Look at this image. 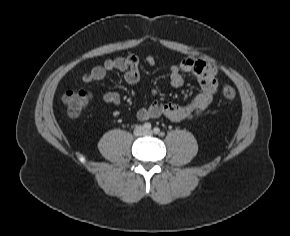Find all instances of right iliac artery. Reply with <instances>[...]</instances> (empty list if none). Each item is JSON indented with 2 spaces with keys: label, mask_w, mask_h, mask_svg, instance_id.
Here are the masks:
<instances>
[{
  "label": "right iliac artery",
  "mask_w": 290,
  "mask_h": 236,
  "mask_svg": "<svg viewBox=\"0 0 290 236\" xmlns=\"http://www.w3.org/2000/svg\"><path fill=\"white\" fill-rule=\"evenodd\" d=\"M144 129L145 130H150L151 129V124L149 122H146L144 125H143Z\"/></svg>",
  "instance_id": "82829eb1"
}]
</instances>
